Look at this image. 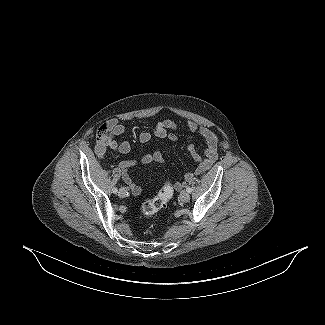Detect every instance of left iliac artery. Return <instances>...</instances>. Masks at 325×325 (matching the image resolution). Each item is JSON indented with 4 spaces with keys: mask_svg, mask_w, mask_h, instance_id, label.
I'll use <instances>...</instances> for the list:
<instances>
[{
    "mask_svg": "<svg viewBox=\"0 0 325 325\" xmlns=\"http://www.w3.org/2000/svg\"><path fill=\"white\" fill-rule=\"evenodd\" d=\"M186 191H187L188 193H190V192L192 191V189H191L190 187H187V188H186Z\"/></svg>",
    "mask_w": 325,
    "mask_h": 325,
    "instance_id": "1",
    "label": "left iliac artery"
}]
</instances>
